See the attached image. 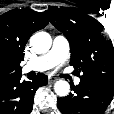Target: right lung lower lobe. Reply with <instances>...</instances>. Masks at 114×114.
Instances as JSON below:
<instances>
[{"label":"right lung lower lobe","instance_id":"right-lung-lower-lobe-1","mask_svg":"<svg viewBox=\"0 0 114 114\" xmlns=\"http://www.w3.org/2000/svg\"><path fill=\"white\" fill-rule=\"evenodd\" d=\"M21 76L18 73L0 82V114H29L36 90L48 83V77L42 73L31 81H22Z\"/></svg>","mask_w":114,"mask_h":114}]
</instances>
